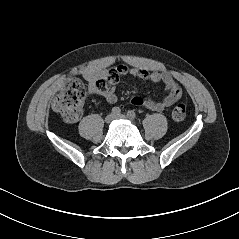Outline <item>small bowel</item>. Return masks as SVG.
Segmentation results:
<instances>
[{
	"mask_svg": "<svg viewBox=\"0 0 239 239\" xmlns=\"http://www.w3.org/2000/svg\"><path fill=\"white\" fill-rule=\"evenodd\" d=\"M124 76H132L142 82L150 81L154 84H163L167 95L161 101L139 97L132 99V103L141 105L151 111L161 112L177 103L182 97L180 86L170 75L160 72H149L142 68H130L125 65H118L112 70L103 73L87 72L85 74V79L89 84L92 94L101 95L109 103H115L117 101L115 84ZM107 78H112V80L107 82L103 90L98 89L96 82L100 79Z\"/></svg>",
	"mask_w": 239,
	"mask_h": 239,
	"instance_id": "small-bowel-1",
	"label": "small bowel"
}]
</instances>
